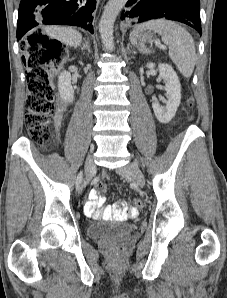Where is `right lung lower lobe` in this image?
I'll return each mask as SVG.
<instances>
[{
	"mask_svg": "<svg viewBox=\"0 0 227 298\" xmlns=\"http://www.w3.org/2000/svg\"><path fill=\"white\" fill-rule=\"evenodd\" d=\"M96 0H21L17 40L32 28L45 24L80 26L93 33Z\"/></svg>",
	"mask_w": 227,
	"mask_h": 298,
	"instance_id": "right-lung-lower-lobe-1",
	"label": "right lung lower lobe"
}]
</instances>
